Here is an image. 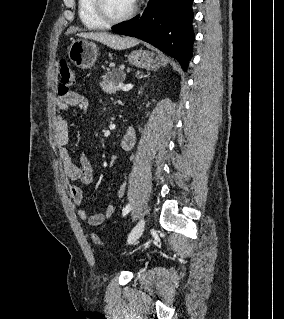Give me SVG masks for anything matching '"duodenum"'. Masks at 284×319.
<instances>
[{
    "mask_svg": "<svg viewBox=\"0 0 284 319\" xmlns=\"http://www.w3.org/2000/svg\"><path fill=\"white\" fill-rule=\"evenodd\" d=\"M136 141V131L134 128H129L121 138L120 145L124 150H130Z\"/></svg>",
    "mask_w": 284,
    "mask_h": 319,
    "instance_id": "duodenum-1",
    "label": "duodenum"
}]
</instances>
